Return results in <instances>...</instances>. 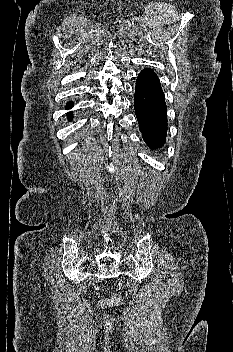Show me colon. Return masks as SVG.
I'll return each instance as SVG.
<instances>
[{"mask_svg": "<svg viewBox=\"0 0 233 352\" xmlns=\"http://www.w3.org/2000/svg\"><path fill=\"white\" fill-rule=\"evenodd\" d=\"M120 297H113L112 299H109L105 302L102 303L104 306H115L120 302Z\"/></svg>", "mask_w": 233, "mask_h": 352, "instance_id": "colon-1", "label": "colon"}]
</instances>
